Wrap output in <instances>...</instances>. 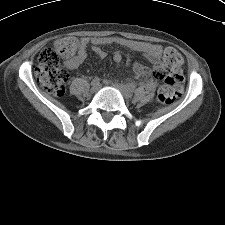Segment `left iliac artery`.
I'll return each mask as SVG.
<instances>
[{"instance_id":"obj_1","label":"left iliac artery","mask_w":225,"mask_h":225,"mask_svg":"<svg viewBox=\"0 0 225 225\" xmlns=\"http://www.w3.org/2000/svg\"><path fill=\"white\" fill-rule=\"evenodd\" d=\"M128 88H129L130 91H134L135 85L131 83V84L128 85Z\"/></svg>"}]
</instances>
